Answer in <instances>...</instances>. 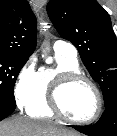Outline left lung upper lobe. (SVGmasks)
Returning <instances> with one entry per match:
<instances>
[{"instance_id":"left-lung-upper-lobe-1","label":"left lung upper lobe","mask_w":117,"mask_h":136,"mask_svg":"<svg viewBox=\"0 0 117 136\" xmlns=\"http://www.w3.org/2000/svg\"><path fill=\"white\" fill-rule=\"evenodd\" d=\"M46 10L60 36L77 48L107 107L117 99V41L109 14L96 0H50Z\"/></svg>"}]
</instances>
